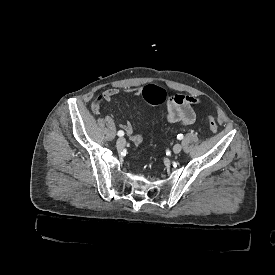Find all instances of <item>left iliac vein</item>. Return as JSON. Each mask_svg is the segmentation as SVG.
Instances as JSON below:
<instances>
[{
  "instance_id": "obj_1",
  "label": "left iliac vein",
  "mask_w": 275,
  "mask_h": 275,
  "mask_svg": "<svg viewBox=\"0 0 275 275\" xmlns=\"http://www.w3.org/2000/svg\"><path fill=\"white\" fill-rule=\"evenodd\" d=\"M181 150H182V145L181 144H175L174 145V147H173V152L174 153H179V152H181Z\"/></svg>"
}]
</instances>
